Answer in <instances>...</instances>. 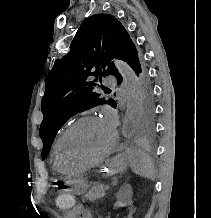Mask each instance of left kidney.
Here are the masks:
<instances>
[{
    "label": "left kidney",
    "mask_w": 211,
    "mask_h": 218,
    "mask_svg": "<svg viewBox=\"0 0 211 218\" xmlns=\"http://www.w3.org/2000/svg\"><path fill=\"white\" fill-rule=\"evenodd\" d=\"M135 203L131 202V198H120V202H116L114 210H122V215H135Z\"/></svg>",
    "instance_id": "1"
}]
</instances>
